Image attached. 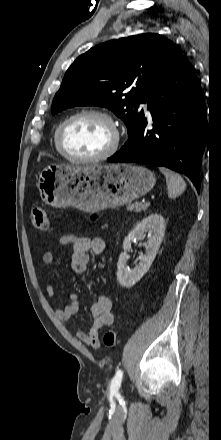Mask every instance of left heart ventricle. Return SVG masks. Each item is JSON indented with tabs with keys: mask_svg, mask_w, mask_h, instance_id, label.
I'll list each match as a JSON object with an SVG mask.
<instances>
[{
	"mask_svg": "<svg viewBox=\"0 0 221 440\" xmlns=\"http://www.w3.org/2000/svg\"><path fill=\"white\" fill-rule=\"evenodd\" d=\"M110 125L96 116H83L71 121L63 134L65 150L75 157H92L104 152L111 144Z\"/></svg>",
	"mask_w": 221,
	"mask_h": 440,
	"instance_id": "b2bd125f",
	"label": "left heart ventricle"
}]
</instances>
